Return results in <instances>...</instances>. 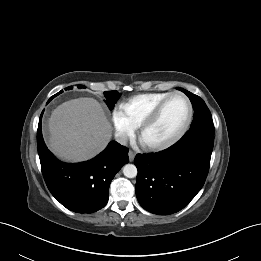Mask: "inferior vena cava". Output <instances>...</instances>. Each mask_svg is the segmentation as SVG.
Listing matches in <instances>:
<instances>
[{
    "label": "inferior vena cava",
    "mask_w": 261,
    "mask_h": 261,
    "mask_svg": "<svg viewBox=\"0 0 261 261\" xmlns=\"http://www.w3.org/2000/svg\"><path fill=\"white\" fill-rule=\"evenodd\" d=\"M115 140L122 145H126L128 142V136L125 133H117L115 135Z\"/></svg>",
    "instance_id": "inferior-vena-cava-1"
}]
</instances>
